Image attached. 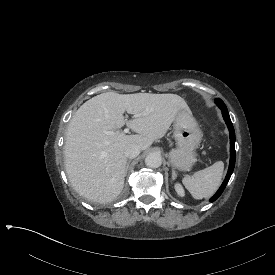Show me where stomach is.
Masks as SVG:
<instances>
[{
    "label": "stomach",
    "mask_w": 275,
    "mask_h": 275,
    "mask_svg": "<svg viewBox=\"0 0 275 275\" xmlns=\"http://www.w3.org/2000/svg\"><path fill=\"white\" fill-rule=\"evenodd\" d=\"M173 129L177 148L170 154L171 164L189 170L195 161L194 149L202 139L201 128L190 109L179 107L173 117Z\"/></svg>",
    "instance_id": "0dacf381"
}]
</instances>
